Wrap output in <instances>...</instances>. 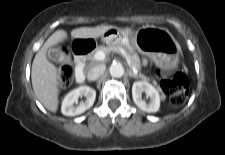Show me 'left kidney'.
<instances>
[{"mask_svg":"<svg viewBox=\"0 0 225 155\" xmlns=\"http://www.w3.org/2000/svg\"><path fill=\"white\" fill-rule=\"evenodd\" d=\"M142 93H145L150 98V102L146 103L142 99ZM132 97L135 104L148 113L157 112L160 108V95L158 90L145 81L134 82L132 86Z\"/></svg>","mask_w":225,"mask_h":155,"instance_id":"1","label":"left kidney"}]
</instances>
